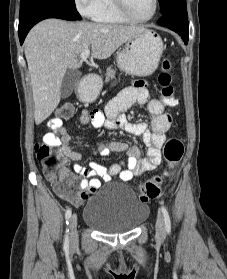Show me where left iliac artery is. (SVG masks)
<instances>
[{
    "mask_svg": "<svg viewBox=\"0 0 227 279\" xmlns=\"http://www.w3.org/2000/svg\"><path fill=\"white\" fill-rule=\"evenodd\" d=\"M162 214H163V218H164V225H165L166 232L170 233L171 232L170 216H169L167 209L164 206H162Z\"/></svg>",
    "mask_w": 227,
    "mask_h": 279,
    "instance_id": "1",
    "label": "left iliac artery"
}]
</instances>
